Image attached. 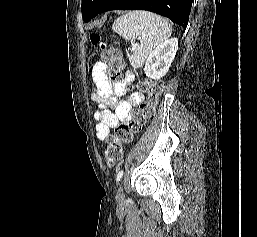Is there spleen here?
I'll use <instances>...</instances> for the list:
<instances>
[{
	"label": "spleen",
	"instance_id": "spleen-1",
	"mask_svg": "<svg viewBox=\"0 0 257 237\" xmlns=\"http://www.w3.org/2000/svg\"><path fill=\"white\" fill-rule=\"evenodd\" d=\"M112 29L128 41L140 39L129 58L134 68H141L153 50L172 33V26L166 19L147 11H132L119 17L113 23Z\"/></svg>",
	"mask_w": 257,
	"mask_h": 237
}]
</instances>
